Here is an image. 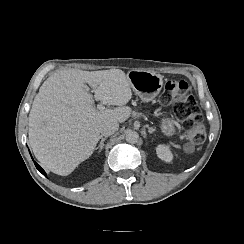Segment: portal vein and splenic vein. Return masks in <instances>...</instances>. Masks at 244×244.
<instances>
[{"mask_svg": "<svg viewBox=\"0 0 244 244\" xmlns=\"http://www.w3.org/2000/svg\"><path fill=\"white\" fill-rule=\"evenodd\" d=\"M104 108H105L104 106L101 105L98 106V109H104Z\"/></svg>", "mask_w": 244, "mask_h": 244, "instance_id": "obj_1", "label": "portal vein and splenic vein"}]
</instances>
